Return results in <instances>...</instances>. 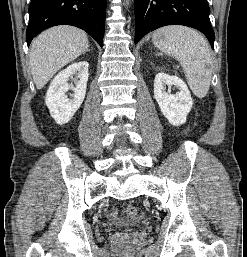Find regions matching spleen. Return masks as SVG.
Wrapping results in <instances>:
<instances>
[{"instance_id": "1", "label": "spleen", "mask_w": 247, "mask_h": 257, "mask_svg": "<svg viewBox=\"0 0 247 257\" xmlns=\"http://www.w3.org/2000/svg\"><path fill=\"white\" fill-rule=\"evenodd\" d=\"M152 41L159 50L180 62L193 93L205 97L211 82L212 59L204 37L188 27L167 26L156 30Z\"/></svg>"}]
</instances>
